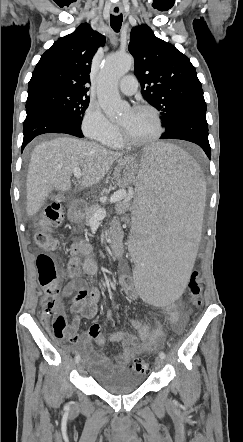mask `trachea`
<instances>
[{"mask_svg":"<svg viewBox=\"0 0 243 442\" xmlns=\"http://www.w3.org/2000/svg\"><path fill=\"white\" fill-rule=\"evenodd\" d=\"M122 19V14L110 16V25L115 32H119L122 25Z\"/></svg>","mask_w":243,"mask_h":442,"instance_id":"trachea-1","label":"trachea"}]
</instances>
